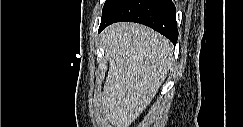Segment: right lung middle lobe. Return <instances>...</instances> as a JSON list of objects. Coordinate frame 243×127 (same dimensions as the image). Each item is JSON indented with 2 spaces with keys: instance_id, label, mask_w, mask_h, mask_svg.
Instances as JSON below:
<instances>
[{
  "instance_id": "right-lung-middle-lobe-1",
  "label": "right lung middle lobe",
  "mask_w": 243,
  "mask_h": 127,
  "mask_svg": "<svg viewBox=\"0 0 243 127\" xmlns=\"http://www.w3.org/2000/svg\"><path fill=\"white\" fill-rule=\"evenodd\" d=\"M111 1H112V0H107V1L105 2V4H104V7H106ZM104 7H103V8H104Z\"/></svg>"
}]
</instances>
